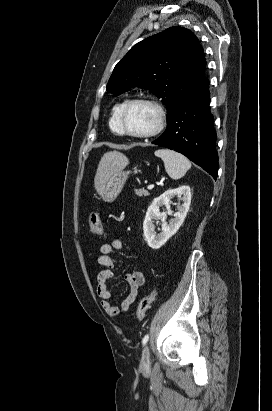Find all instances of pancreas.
<instances>
[{"label": "pancreas", "mask_w": 272, "mask_h": 411, "mask_svg": "<svg viewBox=\"0 0 272 411\" xmlns=\"http://www.w3.org/2000/svg\"><path fill=\"white\" fill-rule=\"evenodd\" d=\"M135 193L139 198L146 197V196L150 195V193L147 190H144V189L135 190Z\"/></svg>", "instance_id": "obj_1"}]
</instances>
